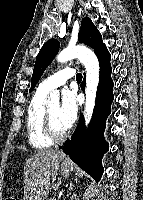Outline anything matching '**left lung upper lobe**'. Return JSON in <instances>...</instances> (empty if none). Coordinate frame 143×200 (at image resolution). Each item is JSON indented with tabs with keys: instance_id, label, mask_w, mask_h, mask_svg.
Masks as SVG:
<instances>
[{
	"instance_id": "5c2ea615",
	"label": "left lung upper lobe",
	"mask_w": 143,
	"mask_h": 200,
	"mask_svg": "<svg viewBox=\"0 0 143 200\" xmlns=\"http://www.w3.org/2000/svg\"><path fill=\"white\" fill-rule=\"evenodd\" d=\"M78 41L93 48L95 53L105 45L102 42V36L100 32L88 17L83 18L81 21ZM59 47V41L55 39H50L43 45L36 58L32 75L31 88L29 91H32L36 86L44 70L58 53Z\"/></svg>"
}]
</instances>
